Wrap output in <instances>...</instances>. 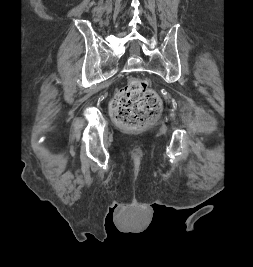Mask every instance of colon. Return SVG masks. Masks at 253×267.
<instances>
[{"mask_svg":"<svg viewBox=\"0 0 253 267\" xmlns=\"http://www.w3.org/2000/svg\"><path fill=\"white\" fill-rule=\"evenodd\" d=\"M161 107L157 93L140 78L130 79L119 89L110 106L114 122L132 130L148 124L160 113Z\"/></svg>","mask_w":253,"mask_h":267,"instance_id":"1","label":"colon"}]
</instances>
